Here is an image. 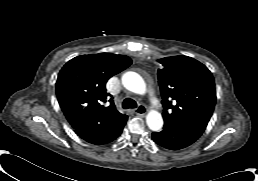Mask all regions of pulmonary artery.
Listing matches in <instances>:
<instances>
[{
  "mask_svg": "<svg viewBox=\"0 0 258 181\" xmlns=\"http://www.w3.org/2000/svg\"><path fill=\"white\" fill-rule=\"evenodd\" d=\"M156 102H157V99L153 97V98L151 99V104L154 106Z\"/></svg>",
  "mask_w": 258,
  "mask_h": 181,
  "instance_id": "pulmonary-artery-1",
  "label": "pulmonary artery"
}]
</instances>
